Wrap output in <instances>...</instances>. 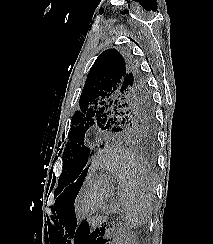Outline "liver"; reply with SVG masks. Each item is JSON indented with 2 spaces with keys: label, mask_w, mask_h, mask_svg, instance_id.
Listing matches in <instances>:
<instances>
[{
  "label": "liver",
  "mask_w": 213,
  "mask_h": 244,
  "mask_svg": "<svg viewBox=\"0 0 213 244\" xmlns=\"http://www.w3.org/2000/svg\"><path fill=\"white\" fill-rule=\"evenodd\" d=\"M99 164H100V162L96 160L95 161V165H99Z\"/></svg>",
  "instance_id": "1"
}]
</instances>
